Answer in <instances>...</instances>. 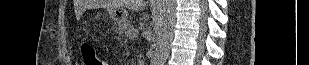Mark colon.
<instances>
[{
	"mask_svg": "<svg viewBox=\"0 0 309 65\" xmlns=\"http://www.w3.org/2000/svg\"><path fill=\"white\" fill-rule=\"evenodd\" d=\"M84 65H103L95 48L90 44H84L81 48Z\"/></svg>",
	"mask_w": 309,
	"mask_h": 65,
	"instance_id": "colon-1",
	"label": "colon"
}]
</instances>
